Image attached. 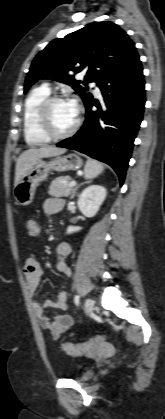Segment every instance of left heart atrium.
<instances>
[{
    "label": "left heart atrium",
    "mask_w": 165,
    "mask_h": 419,
    "mask_svg": "<svg viewBox=\"0 0 165 419\" xmlns=\"http://www.w3.org/2000/svg\"><path fill=\"white\" fill-rule=\"evenodd\" d=\"M69 102L72 105L73 109L75 110L76 114H78V105H77L76 101L72 100V101H69Z\"/></svg>",
    "instance_id": "left-heart-atrium-1"
}]
</instances>
